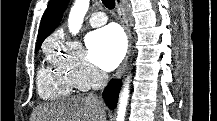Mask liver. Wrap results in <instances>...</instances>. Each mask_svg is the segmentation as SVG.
<instances>
[{"instance_id":"6515ba94","label":"liver","mask_w":217,"mask_h":121,"mask_svg":"<svg viewBox=\"0 0 217 121\" xmlns=\"http://www.w3.org/2000/svg\"><path fill=\"white\" fill-rule=\"evenodd\" d=\"M37 121H106L105 106L90 97H72L37 111Z\"/></svg>"}]
</instances>
